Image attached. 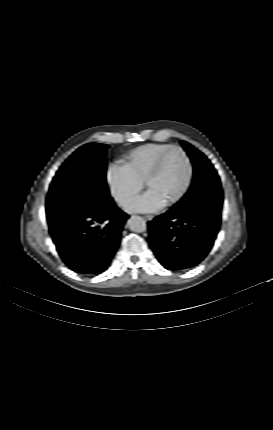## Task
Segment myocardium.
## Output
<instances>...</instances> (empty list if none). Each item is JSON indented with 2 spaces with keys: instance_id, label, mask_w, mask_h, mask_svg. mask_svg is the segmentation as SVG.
I'll return each mask as SVG.
<instances>
[{
  "instance_id": "f54148a6",
  "label": "myocardium",
  "mask_w": 273,
  "mask_h": 430,
  "mask_svg": "<svg viewBox=\"0 0 273 430\" xmlns=\"http://www.w3.org/2000/svg\"><path fill=\"white\" fill-rule=\"evenodd\" d=\"M172 151H177L183 156L187 166V178L182 189L178 192L176 196H174L169 202L164 205L165 207H172L176 205L186 195L193 180V166L188 154L183 148L176 145H171L170 147L165 149L157 158L154 166L152 167L144 181L145 187L148 188L149 183L160 174L165 158Z\"/></svg>"
}]
</instances>
